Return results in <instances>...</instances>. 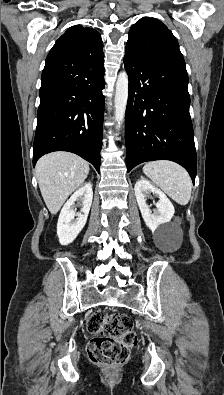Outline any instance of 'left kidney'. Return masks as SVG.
I'll return each mask as SVG.
<instances>
[{
  "mask_svg": "<svg viewBox=\"0 0 224 395\" xmlns=\"http://www.w3.org/2000/svg\"><path fill=\"white\" fill-rule=\"evenodd\" d=\"M135 196L139 209L146 226L160 237H166L169 233L167 223H169L175 213V209L168 197L150 181L141 177L134 186ZM155 194L159 201L155 204L157 210L152 213L146 203V196Z\"/></svg>",
  "mask_w": 224,
  "mask_h": 395,
  "instance_id": "1",
  "label": "left kidney"
}]
</instances>
